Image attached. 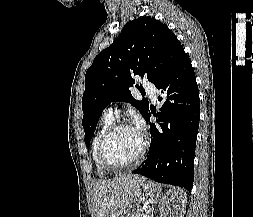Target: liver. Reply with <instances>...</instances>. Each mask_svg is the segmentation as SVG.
Listing matches in <instances>:
<instances>
[{"label": "liver", "mask_w": 253, "mask_h": 217, "mask_svg": "<svg viewBox=\"0 0 253 217\" xmlns=\"http://www.w3.org/2000/svg\"><path fill=\"white\" fill-rule=\"evenodd\" d=\"M145 178L125 175L93 184L92 205L95 217H121L133 201V192Z\"/></svg>", "instance_id": "obj_1"}]
</instances>
